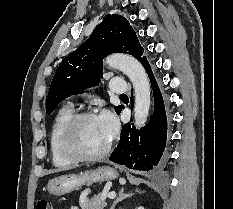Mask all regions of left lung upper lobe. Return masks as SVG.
Returning <instances> with one entry per match:
<instances>
[{
  "instance_id": "5c2ea615",
  "label": "left lung upper lobe",
  "mask_w": 233,
  "mask_h": 209,
  "mask_svg": "<svg viewBox=\"0 0 233 209\" xmlns=\"http://www.w3.org/2000/svg\"><path fill=\"white\" fill-rule=\"evenodd\" d=\"M143 52L128 20L121 15H106L91 36L59 64L46 100L47 114L70 94L97 86L104 57L126 53L141 61ZM122 108L116 106V113Z\"/></svg>"
}]
</instances>
